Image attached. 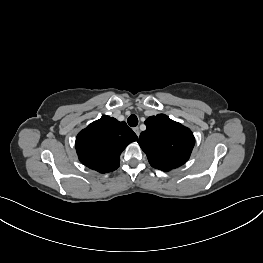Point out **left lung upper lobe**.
<instances>
[{"instance_id": "left-lung-upper-lobe-1", "label": "left lung upper lobe", "mask_w": 263, "mask_h": 263, "mask_svg": "<svg viewBox=\"0 0 263 263\" xmlns=\"http://www.w3.org/2000/svg\"><path fill=\"white\" fill-rule=\"evenodd\" d=\"M145 125L138 143L152 167L167 172L188 161L195 144L189 128L164 114L149 117Z\"/></svg>"}]
</instances>
